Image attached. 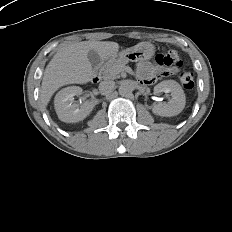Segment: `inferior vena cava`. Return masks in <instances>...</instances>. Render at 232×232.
<instances>
[{
    "instance_id": "inferior-vena-cava-1",
    "label": "inferior vena cava",
    "mask_w": 232,
    "mask_h": 232,
    "mask_svg": "<svg viewBox=\"0 0 232 232\" xmlns=\"http://www.w3.org/2000/svg\"><path fill=\"white\" fill-rule=\"evenodd\" d=\"M114 81L112 80H105V81H102L100 84H99V91L102 95H107L109 93H111V91L113 90L114 88Z\"/></svg>"
}]
</instances>
